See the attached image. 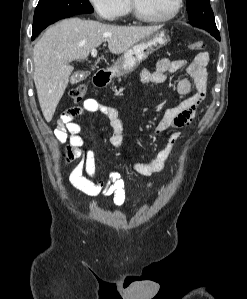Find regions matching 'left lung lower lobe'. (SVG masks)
<instances>
[{
    "mask_svg": "<svg viewBox=\"0 0 247 299\" xmlns=\"http://www.w3.org/2000/svg\"><path fill=\"white\" fill-rule=\"evenodd\" d=\"M212 36H214L217 40H220L219 33H211Z\"/></svg>",
    "mask_w": 247,
    "mask_h": 299,
    "instance_id": "0a47b994",
    "label": "left lung lower lobe"
}]
</instances>
